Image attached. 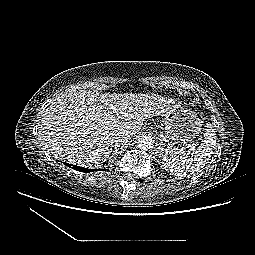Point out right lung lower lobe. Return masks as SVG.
Listing matches in <instances>:
<instances>
[{
    "label": "right lung lower lobe",
    "mask_w": 255,
    "mask_h": 255,
    "mask_svg": "<svg viewBox=\"0 0 255 255\" xmlns=\"http://www.w3.org/2000/svg\"><path fill=\"white\" fill-rule=\"evenodd\" d=\"M65 165H67L68 167H70L74 170H77V171H80V172H86V173L94 172V171L97 170V169H88V168H84V167H80V166H76V165H72V164H68V163H65Z\"/></svg>",
    "instance_id": "1"
}]
</instances>
